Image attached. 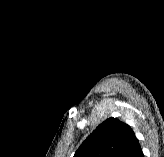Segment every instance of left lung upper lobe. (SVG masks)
I'll return each mask as SVG.
<instances>
[{"instance_id":"left-lung-upper-lobe-1","label":"left lung upper lobe","mask_w":164,"mask_h":157,"mask_svg":"<svg viewBox=\"0 0 164 157\" xmlns=\"http://www.w3.org/2000/svg\"><path fill=\"white\" fill-rule=\"evenodd\" d=\"M135 139L129 125L109 118L84 140L73 157H126Z\"/></svg>"}]
</instances>
